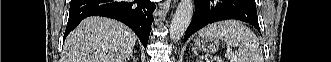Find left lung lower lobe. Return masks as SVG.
<instances>
[{
  "label": "left lung lower lobe",
  "instance_id": "left-lung-lower-lobe-1",
  "mask_svg": "<svg viewBox=\"0 0 331 62\" xmlns=\"http://www.w3.org/2000/svg\"><path fill=\"white\" fill-rule=\"evenodd\" d=\"M195 8L184 42L204 26L226 19L244 21L259 30L255 0H195Z\"/></svg>",
  "mask_w": 331,
  "mask_h": 62
}]
</instances>
